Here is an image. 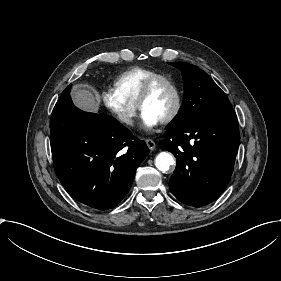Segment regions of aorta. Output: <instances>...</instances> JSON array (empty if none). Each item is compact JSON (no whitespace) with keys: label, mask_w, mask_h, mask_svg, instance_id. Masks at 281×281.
Segmentation results:
<instances>
[{"label":"aorta","mask_w":281,"mask_h":281,"mask_svg":"<svg viewBox=\"0 0 281 281\" xmlns=\"http://www.w3.org/2000/svg\"><path fill=\"white\" fill-rule=\"evenodd\" d=\"M174 164V157L169 152H160L155 158L156 167L163 173L167 172Z\"/></svg>","instance_id":"obj_1"}]
</instances>
